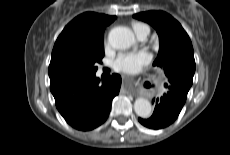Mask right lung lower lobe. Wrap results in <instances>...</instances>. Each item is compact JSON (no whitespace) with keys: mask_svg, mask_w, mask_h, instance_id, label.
<instances>
[{"mask_svg":"<svg viewBox=\"0 0 230 155\" xmlns=\"http://www.w3.org/2000/svg\"><path fill=\"white\" fill-rule=\"evenodd\" d=\"M120 86L118 74L102 84L95 73L50 78V90L58 111L68 124L82 131L92 130L105 122Z\"/></svg>","mask_w":230,"mask_h":155,"instance_id":"right-lung-lower-lobe-1","label":"right lung lower lobe"}]
</instances>
